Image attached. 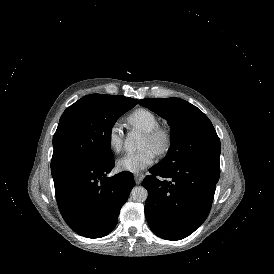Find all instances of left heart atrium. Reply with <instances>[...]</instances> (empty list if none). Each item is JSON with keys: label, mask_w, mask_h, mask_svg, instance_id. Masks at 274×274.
<instances>
[{"label": "left heart atrium", "mask_w": 274, "mask_h": 274, "mask_svg": "<svg viewBox=\"0 0 274 274\" xmlns=\"http://www.w3.org/2000/svg\"><path fill=\"white\" fill-rule=\"evenodd\" d=\"M155 158V152L149 147L128 152L118 157L116 167L119 171L137 173L149 167Z\"/></svg>", "instance_id": "left-heart-atrium-1"}]
</instances>
